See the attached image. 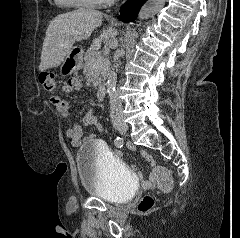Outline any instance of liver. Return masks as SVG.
Masks as SVG:
<instances>
[{
    "label": "liver",
    "mask_w": 240,
    "mask_h": 238,
    "mask_svg": "<svg viewBox=\"0 0 240 238\" xmlns=\"http://www.w3.org/2000/svg\"><path fill=\"white\" fill-rule=\"evenodd\" d=\"M102 13L91 9H77L54 18L46 31L41 52L39 70L43 71L61 64L70 53L75 42L87 39L102 23ZM117 30L103 29L101 35L93 40L92 49L98 50L104 42L106 49L116 48Z\"/></svg>",
    "instance_id": "obj_1"
}]
</instances>
